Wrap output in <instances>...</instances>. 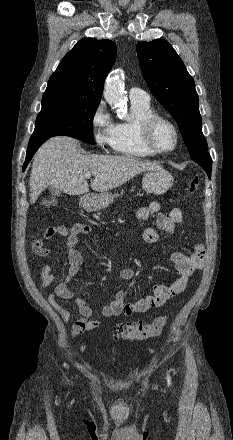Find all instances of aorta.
<instances>
[{
  "mask_svg": "<svg viewBox=\"0 0 233 440\" xmlns=\"http://www.w3.org/2000/svg\"><path fill=\"white\" fill-rule=\"evenodd\" d=\"M122 79L118 73L109 75L105 81L104 98L109 105L118 108V114L126 118L127 115L123 110L124 94L122 87Z\"/></svg>",
  "mask_w": 233,
  "mask_h": 440,
  "instance_id": "1",
  "label": "aorta"
}]
</instances>
